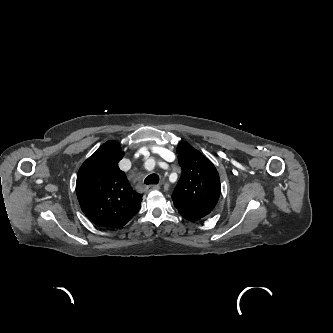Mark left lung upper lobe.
Segmentation results:
<instances>
[{"mask_svg": "<svg viewBox=\"0 0 333 333\" xmlns=\"http://www.w3.org/2000/svg\"><path fill=\"white\" fill-rule=\"evenodd\" d=\"M182 175L172 199L181 214L202 218L215 207L220 196L219 174L213 163L187 143H179Z\"/></svg>", "mask_w": 333, "mask_h": 333, "instance_id": "1", "label": "left lung upper lobe"}]
</instances>
